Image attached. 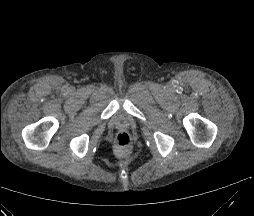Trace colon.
<instances>
[{
    "label": "colon",
    "instance_id": "5ec220e1",
    "mask_svg": "<svg viewBox=\"0 0 254 216\" xmlns=\"http://www.w3.org/2000/svg\"><path fill=\"white\" fill-rule=\"evenodd\" d=\"M115 146L119 150H128L132 146V140L129 134L121 132L115 139Z\"/></svg>",
    "mask_w": 254,
    "mask_h": 216
}]
</instances>
